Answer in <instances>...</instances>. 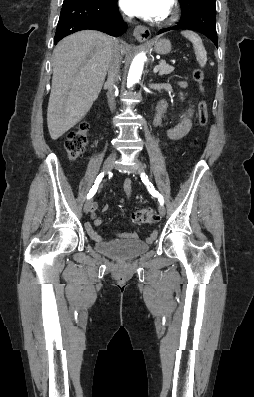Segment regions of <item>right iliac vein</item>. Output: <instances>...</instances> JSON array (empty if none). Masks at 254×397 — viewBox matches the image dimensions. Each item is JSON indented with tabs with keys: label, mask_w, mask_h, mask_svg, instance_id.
<instances>
[{
	"label": "right iliac vein",
	"mask_w": 254,
	"mask_h": 397,
	"mask_svg": "<svg viewBox=\"0 0 254 397\" xmlns=\"http://www.w3.org/2000/svg\"><path fill=\"white\" fill-rule=\"evenodd\" d=\"M115 159H116V155L112 154L105 160L104 165H103V171L105 173H108L112 169V166H113V163H114ZM92 204H93V199L92 198H90L89 200H87L85 202V204H84V212L85 213L89 212V210L91 209Z\"/></svg>",
	"instance_id": "1"
}]
</instances>
